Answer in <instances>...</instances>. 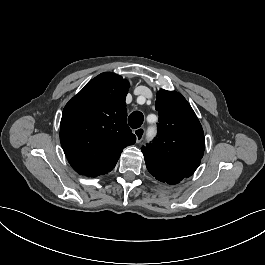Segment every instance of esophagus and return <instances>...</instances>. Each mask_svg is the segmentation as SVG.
<instances>
[{
	"label": "esophagus",
	"mask_w": 265,
	"mask_h": 265,
	"mask_svg": "<svg viewBox=\"0 0 265 265\" xmlns=\"http://www.w3.org/2000/svg\"><path fill=\"white\" fill-rule=\"evenodd\" d=\"M133 133L135 134L136 136V139H137V143L141 142L144 135H145V129L144 128H137L133 131Z\"/></svg>",
	"instance_id": "1"
}]
</instances>
